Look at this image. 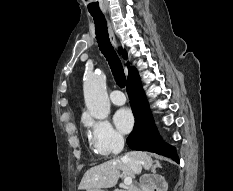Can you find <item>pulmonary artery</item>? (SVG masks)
<instances>
[{"label":"pulmonary artery","instance_id":"pulmonary-artery-1","mask_svg":"<svg viewBox=\"0 0 233 191\" xmlns=\"http://www.w3.org/2000/svg\"><path fill=\"white\" fill-rule=\"evenodd\" d=\"M110 100L115 105H123L126 102V97L120 90H114L110 93Z\"/></svg>","mask_w":233,"mask_h":191}]
</instances>
